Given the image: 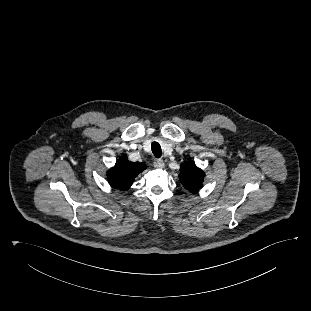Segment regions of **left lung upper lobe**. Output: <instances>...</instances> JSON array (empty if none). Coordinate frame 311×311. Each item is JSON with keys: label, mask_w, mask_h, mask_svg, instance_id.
Returning <instances> with one entry per match:
<instances>
[{"label": "left lung upper lobe", "mask_w": 311, "mask_h": 311, "mask_svg": "<svg viewBox=\"0 0 311 311\" xmlns=\"http://www.w3.org/2000/svg\"><path fill=\"white\" fill-rule=\"evenodd\" d=\"M180 170L179 179L184 188L196 193L202 187L204 172L193 163H185Z\"/></svg>", "instance_id": "5c2ea615"}]
</instances>
